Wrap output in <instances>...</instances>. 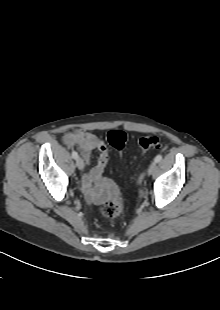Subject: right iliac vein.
<instances>
[{"mask_svg":"<svg viewBox=\"0 0 220 310\" xmlns=\"http://www.w3.org/2000/svg\"><path fill=\"white\" fill-rule=\"evenodd\" d=\"M76 166L78 167L79 170H83L85 167L84 161L82 158H77L76 159Z\"/></svg>","mask_w":220,"mask_h":310,"instance_id":"1","label":"right iliac vein"}]
</instances>
